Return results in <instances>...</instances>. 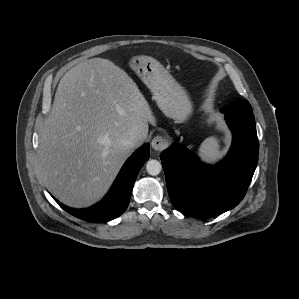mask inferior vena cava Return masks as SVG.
Returning <instances> with one entry per match:
<instances>
[{
	"instance_id": "inferior-vena-cava-1",
	"label": "inferior vena cava",
	"mask_w": 299,
	"mask_h": 299,
	"mask_svg": "<svg viewBox=\"0 0 299 299\" xmlns=\"http://www.w3.org/2000/svg\"><path fill=\"white\" fill-rule=\"evenodd\" d=\"M143 141L142 137L131 136L122 141V145L126 148L133 149L136 145Z\"/></svg>"
}]
</instances>
